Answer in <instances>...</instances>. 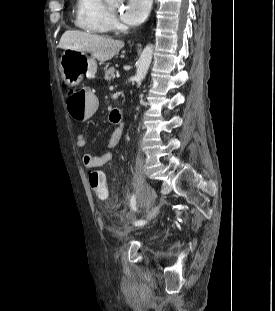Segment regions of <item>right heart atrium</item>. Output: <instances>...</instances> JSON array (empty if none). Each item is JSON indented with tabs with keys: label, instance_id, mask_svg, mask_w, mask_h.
Masks as SVG:
<instances>
[{
	"label": "right heart atrium",
	"instance_id": "right-heart-atrium-1",
	"mask_svg": "<svg viewBox=\"0 0 275 311\" xmlns=\"http://www.w3.org/2000/svg\"><path fill=\"white\" fill-rule=\"evenodd\" d=\"M110 27H111V28H116V27H118V22H117L116 18L113 17V16L110 18Z\"/></svg>",
	"mask_w": 275,
	"mask_h": 311
}]
</instances>
